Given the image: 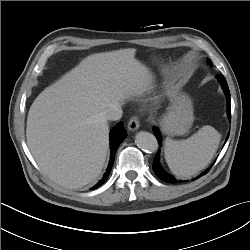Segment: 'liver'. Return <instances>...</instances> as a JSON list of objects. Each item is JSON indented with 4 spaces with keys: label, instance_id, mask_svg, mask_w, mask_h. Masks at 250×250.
Returning <instances> with one entry per match:
<instances>
[{
    "label": "liver",
    "instance_id": "liver-1",
    "mask_svg": "<svg viewBox=\"0 0 250 250\" xmlns=\"http://www.w3.org/2000/svg\"><path fill=\"white\" fill-rule=\"evenodd\" d=\"M128 48L86 57L45 88L28 112V147L41 170L70 189L93 182L109 148L104 111L150 89L148 68Z\"/></svg>",
    "mask_w": 250,
    "mask_h": 250
}]
</instances>
